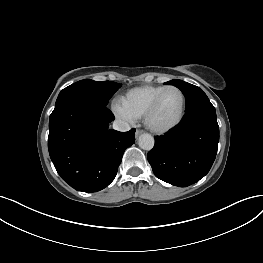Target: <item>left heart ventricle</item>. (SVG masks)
Here are the masks:
<instances>
[{"label": "left heart ventricle", "mask_w": 263, "mask_h": 263, "mask_svg": "<svg viewBox=\"0 0 263 263\" xmlns=\"http://www.w3.org/2000/svg\"><path fill=\"white\" fill-rule=\"evenodd\" d=\"M182 97L177 90H169L161 98L151 122L155 126H166L174 122L180 114Z\"/></svg>", "instance_id": "obj_1"}]
</instances>
